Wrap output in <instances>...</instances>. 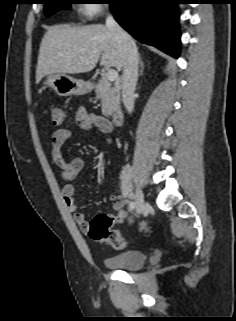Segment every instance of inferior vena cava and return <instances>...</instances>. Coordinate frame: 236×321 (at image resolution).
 <instances>
[{
    "instance_id": "1",
    "label": "inferior vena cava",
    "mask_w": 236,
    "mask_h": 321,
    "mask_svg": "<svg viewBox=\"0 0 236 321\" xmlns=\"http://www.w3.org/2000/svg\"><path fill=\"white\" fill-rule=\"evenodd\" d=\"M106 27L114 35L124 54L122 77V101L126 110L134 109V90L138 79V51L135 42L115 21L112 15L106 18Z\"/></svg>"
}]
</instances>
